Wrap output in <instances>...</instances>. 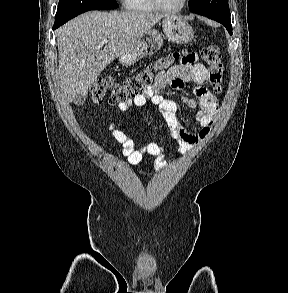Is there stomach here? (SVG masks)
I'll return each mask as SVG.
<instances>
[{
	"mask_svg": "<svg viewBox=\"0 0 288 293\" xmlns=\"http://www.w3.org/2000/svg\"><path fill=\"white\" fill-rule=\"evenodd\" d=\"M162 28L165 37L173 43H188L194 38L193 28L178 16L164 17ZM162 45V35L156 29H150L140 36L128 51L119 56V61L123 66H131L142 57L156 53Z\"/></svg>",
	"mask_w": 288,
	"mask_h": 293,
	"instance_id": "obj_1",
	"label": "stomach"
}]
</instances>
